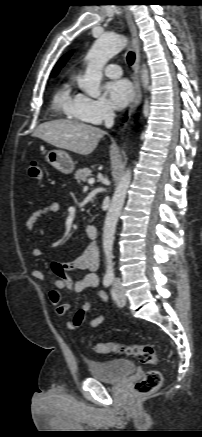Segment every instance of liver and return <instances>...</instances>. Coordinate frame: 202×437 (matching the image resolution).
Listing matches in <instances>:
<instances>
[{
	"label": "liver",
	"instance_id": "1",
	"mask_svg": "<svg viewBox=\"0 0 202 437\" xmlns=\"http://www.w3.org/2000/svg\"><path fill=\"white\" fill-rule=\"evenodd\" d=\"M105 132L98 127L71 120H53L40 124L32 136L74 153L88 156Z\"/></svg>",
	"mask_w": 202,
	"mask_h": 437
}]
</instances>
